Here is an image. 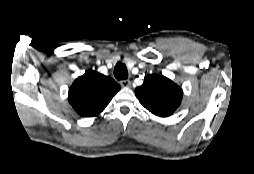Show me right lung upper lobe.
<instances>
[{
	"label": "right lung upper lobe",
	"mask_w": 254,
	"mask_h": 174,
	"mask_svg": "<svg viewBox=\"0 0 254 174\" xmlns=\"http://www.w3.org/2000/svg\"><path fill=\"white\" fill-rule=\"evenodd\" d=\"M120 86L109 76L88 71L78 77L69 89L68 99L83 117H94L102 112Z\"/></svg>",
	"instance_id": "1"
}]
</instances>
